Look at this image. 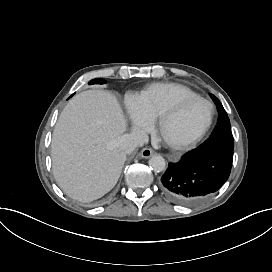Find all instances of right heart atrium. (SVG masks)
Masks as SVG:
<instances>
[{"label":"right heart atrium","mask_w":272,"mask_h":272,"mask_svg":"<svg viewBox=\"0 0 272 272\" xmlns=\"http://www.w3.org/2000/svg\"><path fill=\"white\" fill-rule=\"evenodd\" d=\"M150 121L148 118H146L143 115H140L138 113H135L134 117H133V126L134 127H140V128H144L147 127L149 125Z\"/></svg>","instance_id":"obj_1"}]
</instances>
